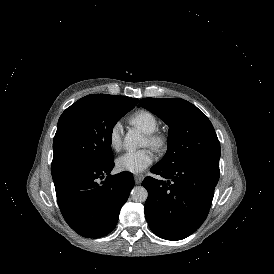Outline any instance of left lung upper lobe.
Returning <instances> with one entry per match:
<instances>
[{"mask_svg": "<svg viewBox=\"0 0 274 274\" xmlns=\"http://www.w3.org/2000/svg\"><path fill=\"white\" fill-rule=\"evenodd\" d=\"M139 106L169 126L168 150L158 164L168 168L194 162L219 166L220 142L210 120L196 106L179 98H144Z\"/></svg>", "mask_w": 274, "mask_h": 274, "instance_id": "left-lung-upper-lobe-1", "label": "left lung upper lobe"}]
</instances>
